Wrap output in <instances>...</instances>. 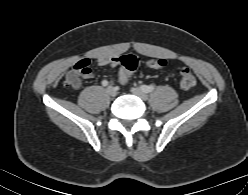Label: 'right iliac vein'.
<instances>
[{"mask_svg": "<svg viewBox=\"0 0 248 195\" xmlns=\"http://www.w3.org/2000/svg\"><path fill=\"white\" fill-rule=\"evenodd\" d=\"M106 92L112 97H115L117 95V91L113 86H108Z\"/></svg>", "mask_w": 248, "mask_h": 195, "instance_id": "right-iliac-vein-1", "label": "right iliac vein"}]
</instances>
